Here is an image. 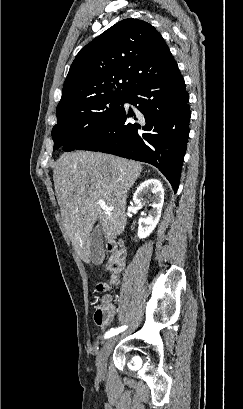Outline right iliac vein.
Listing matches in <instances>:
<instances>
[{"instance_id": "1", "label": "right iliac vein", "mask_w": 243, "mask_h": 409, "mask_svg": "<svg viewBox=\"0 0 243 409\" xmlns=\"http://www.w3.org/2000/svg\"><path fill=\"white\" fill-rule=\"evenodd\" d=\"M115 342H116V338L108 339L105 342L101 351L99 352V355L96 360V366H97L98 375L100 377H104L106 373L107 359L114 347Z\"/></svg>"}]
</instances>
